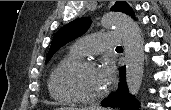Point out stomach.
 I'll list each match as a JSON object with an SVG mask.
<instances>
[{
    "label": "stomach",
    "instance_id": "0dacf381",
    "mask_svg": "<svg viewBox=\"0 0 171 110\" xmlns=\"http://www.w3.org/2000/svg\"><path fill=\"white\" fill-rule=\"evenodd\" d=\"M58 110H63V108H60V109H58Z\"/></svg>",
    "mask_w": 171,
    "mask_h": 110
}]
</instances>
